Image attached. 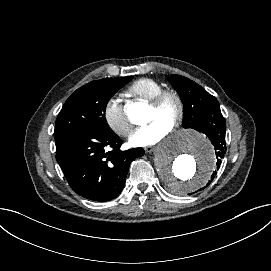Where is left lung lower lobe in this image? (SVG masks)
I'll use <instances>...</instances> for the list:
<instances>
[{"label": "left lung lower lobe", "instance_id": "0a47b994", "mask_svg": "<svg viewBox=\"0 0 271 271\" xmlns=\"http://www.w3.org/2000/svg\"><path fill=\"white\" fill-rule=\"evenodd\" d=\"M197 131L205 134L211 141L215 148L216 154V170L220 168L222 158L226 153V142H225V132H226V122L221 114L220 110L213 112L205 120L196 126ZM217 171H214L211 175V179L206 184L207 187L215 178ZM204 187V188H205ZM201 188L200 190H202Z\"/></svg>", "mask_w": 271, "mask_h": 271}]
</instances>
